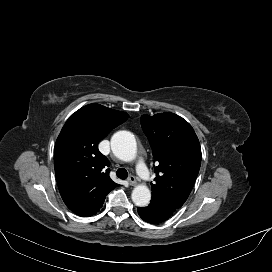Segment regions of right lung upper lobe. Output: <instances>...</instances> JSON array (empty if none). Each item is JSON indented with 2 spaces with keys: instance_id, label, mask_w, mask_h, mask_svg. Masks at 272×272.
I'll use <instances>...</instances> for the list:
<instances>
[{
  "instance_id": "obj_1",
  "label": "right lung upper lobe",
  "mask_w": 272,
  "mask_h": 272,
  "mask_svg": "<svg viewBox=\"0 0 272 272\" xmlns=\"http://www.w3.org/2000/svg\"><path fill=\"white\" fill-rule=\"evenodd\" d=\"M128 117L125 112L89 104L69 117L56 140L59 191L66 206L81 217L97 213L107 194L118 186L109 177V161L97 145Z\"/></svg>"
}]
</instances>
